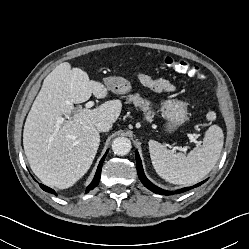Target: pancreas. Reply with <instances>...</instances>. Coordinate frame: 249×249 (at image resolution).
Instances as JSON below:
<instances>
[{"instance_id": "pancreas-1", "label": "pancreas", "mask_w": 249, "mask_h": 249, "mask_svg": "<svg viewBox=\"0 0 249 249\" xmlns=\"http://www.w3.org/2000/svg\"><path fill=\"white\" fill-rule=\"evenodd\" d=\"M128 102H132L136 107L141 108L145 112L147 119H151L154 116V112L149 107L150 103L140 97L139 94L129 95Z\"/></svg>"}]
</instances>
